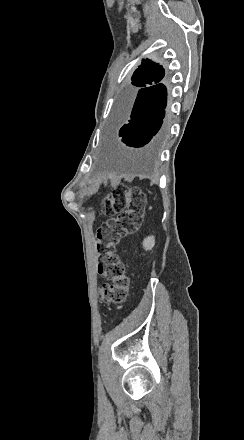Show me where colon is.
I'll list each match as a JSON object with an SVG mask.
<instances>
[{
  "label": "colon",
  "mask_w": 244,
  "mask_h": 440,
  "mask_svg": "<svg viewBox=\"0 0 244 440\" xmlns=\"http://www.w3.org/2000/svg\"><path fill=\"white\" fill-rule=\"evenodd\" d=\"M107 220L96 235L97 268L109 280L98 290L99 299L106 303L123 305L129 295L131 278L117 254L119 240L139 230L144 217V197L137 187L127 192L115 189L112 198L105 200L101 210Z\"/></svg>",
  "instance_id": "colon-1"
}]
</instances>
